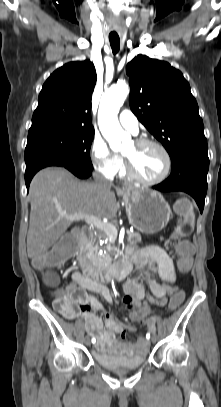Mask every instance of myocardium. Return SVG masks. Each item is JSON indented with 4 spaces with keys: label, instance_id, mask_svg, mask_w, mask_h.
Instances as JSON below:
<instances>
[{
    "label": "myocardium",
    "instance_id": "1",
    "mask_svg": "<svg viewBox=\"0 0 221 407\" xmlns=\"http://www.w3.org/2000/svg\"><path fill=\"white\" fill-rule=\"evenodd\" d=\"M134 144L138 147L154 146V147L158 148L165 157L166 169L161 177H159L157 179H147V178H144L143 176H141L136 171L133 162L127 156L123 155L126 174L130 178H132L142 184H146V185H157V184H160V183L164 182L165 180H167L171 174L172 167H173L172 157H171V154L168 151V149L162 143H160L156 140H153V139H149V138L136 139L134 141Z\"/></svg>",
    "mask_w": 221,
    "mask_h": 407
}]
</instances>
